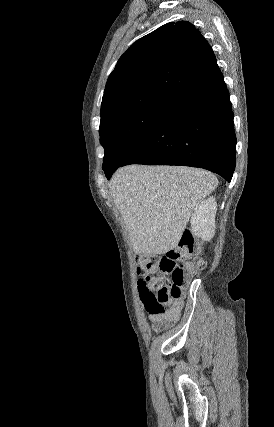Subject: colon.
Listing matches in <instances>:
<instances>
[{
	"label": "colon",
	"instance_id": "5ec220e1",
	"mask_svg": "<svg viewBox=\"0 0 274 427\" xmlns=\"http://www.w3.org/2000/svg\"><path fill=\"white\" fill-rule=\"evenodd\" d=\"M178 242L181 250H170L163 255H150L141 259L140 253L134 254V259L139 260L137 274L146 278L133 280V291L138 292L139 296H146L142 303L151 315H161L167 305L179 299L193 272L205 265L204 258L197 255L182 266L178 265L177 262L185 256L191 257L195 253L193 235L188 229L180 230ZM149 284H157L156 290L147 288Z\"/></svg>",
	"mask_w": 274,
	"mask_h": 427
}]
</instances>
